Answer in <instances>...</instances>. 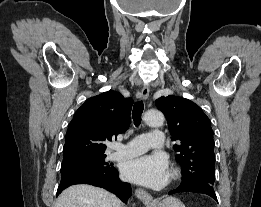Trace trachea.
Wrapping results in <instances>:
<instances>
[{
    "label": "trachea",
    "mask_w": 261,
    "mask_h": 207,
    "mask_svg": "<svg viewBox=\"0 0 261 207\" xmlns=\"http://www.w3.org/2000/svg\"><path fill=\"white\" fill-rule=\"evenodd\" d=\"M143 109H144L143 101L136 102L133 106L132 118L136 127L140 125Z\"/></svg>",
    "instance_id": "3493384b"
}]
</instances>
